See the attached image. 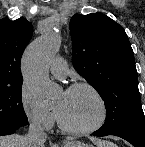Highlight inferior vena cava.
Segmentation results:
<instances>
[{
  "instance_id": "obj_1",
  "label": "inferior vena cava",
  "mask_w": 145,
  "mask_h": 147,
  "mask_svg": "<svg viewBox=\"0 0 145 147\" xmlns=\"http://www.w3.org/2000/svg\"><path fill=\"white\" fill-rule=\"evenodd\" d=\"M47 135L41 123L34 119L29 126L28 134L25 137L26 147H44Z\"/></svg>"
}]
</instances>
